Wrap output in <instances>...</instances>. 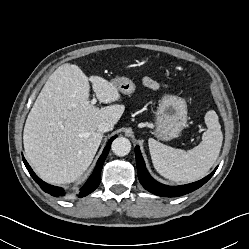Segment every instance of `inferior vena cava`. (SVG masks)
Listing matches in <instances>:
<instances>
[{"label": "inferior vena cava", "instance_id": "obj_1", "mask_svg": "<svg viewBox=\"0 0 249 249\" xmlns=\"http://www.w3.org/2000/svg\"><path fill=\"white\" fill-rule=\"evenodd\" d=\"M112 129H113V126L108 122L103 121L98 124V131L102 133L111 131Z\"/></svg>", "mask_w": 249, "mask_h": 249}]
</instances>
